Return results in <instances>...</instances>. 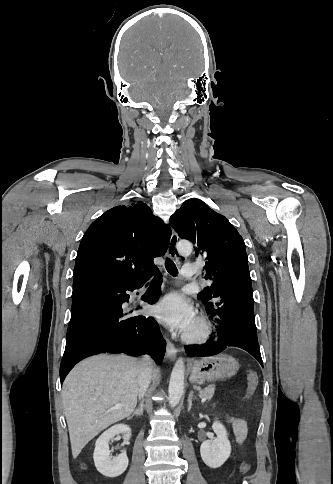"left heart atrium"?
<instances>
[{
    "label": "left heart atrium",
    "instance_id": "obj_1",
    "mask_svg": "<svg viewBox=\"0 0 333 484\" xmlns=\"http://www.w3.org/2000/svg\"><path fill=\"white\" fill-rule=\"evenodd\" d=\"M153 314L168 326L187 332L196 320L192 302L180 292L165 295L153 308Z\"/></svg>",
    "mask_w": 333,
    "mask_h": 484
}]
</instances>
